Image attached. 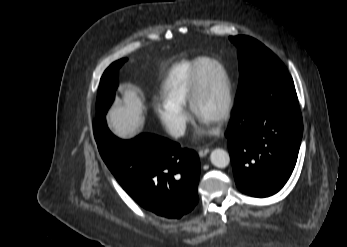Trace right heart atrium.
I'll return each instance as SVG.
<instances>
[{"label": "right heart atrium", "instance_id": "right-heart-atrium-1", "mask_svg": "<svg viewBox=\"0 0 347 247\" xmlns=\"http://www.w3.org/2000/svg\"><path fill=\"white\" fill-rule=\"evenodd\" d=\"M155 112L164 128L173 137L179 138L185 134L190 119L185 106L163 99L155 104Z\"/></svg>", "mask_w": 347, "mask_h": 247}]
</instances>
